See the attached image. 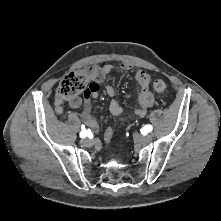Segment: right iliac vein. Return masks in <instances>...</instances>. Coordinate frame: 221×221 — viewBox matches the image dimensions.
<instances>
[{
	"label": "right iliac vein",
	"mask_w": 221,
	"mask_h": 221,
	"mask_svg": "<svg viewBox=\"0 0 221 221\" xmlns=\"http://www.w3.org/2000/svg\"><path fill=\"white\" fill-rule=\"evenodd\" d=\"M81 144H82L83 146L90 147V146L93 144V141L90 140V139H83V140L81 141Z\"/></svg>",
	"instance_id": "63e3f726"
}]
</instances>
